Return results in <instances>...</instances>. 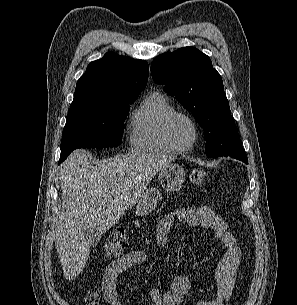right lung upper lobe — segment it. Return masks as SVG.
<instances>
[{"mask_svg":"<svg viewBox=\"0 0 297 305\" xmlns=\"http://www.w3.org/2000/svg\"><path fill=\"white\" fill-rule=\"evenodd\" d=\"M148 72L146 61L108 52L87 66L70 106L138 97L147 84Z\"/></svg>","mask_w":297,"mask_h":305,"instance_id":"obj_1","label":"right lung upper lobe"}]
</instances>
